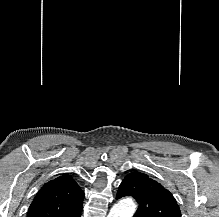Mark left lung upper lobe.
Returning a JSON list of instances; mask_svg holds the SVG:
<instances>
[{"mask_svg":"<svg viewBox=\"0 0 219 217\" xmlns=\"http://www.w3.org/2000/svg\"><path fill=\"white\" fill-rule=\"evenodd\" d=\"M124 196H133L139 204L134 217H181L170 191L144 173L135 171L124 178L116 199Z\"/></svg>","mask_w":219,"mask_h":217,"instance_id":"left-lung-upper-lobe-1","label":"left lung upper lobe"}]
</instances>
